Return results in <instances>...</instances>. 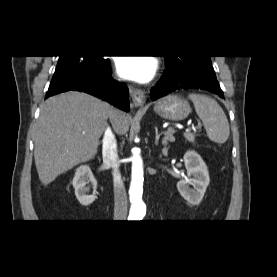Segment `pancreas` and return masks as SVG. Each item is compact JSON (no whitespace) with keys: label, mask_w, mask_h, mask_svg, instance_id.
I'll list each match as a JSON object with an SVG mask.
<instances>
[{"label":"pancreas","mask_w":277,"mask_h":277,"mask_svg":"<svg viewBox=\"0 0 277 277\" xmlns=\"http://www.w3.org/2000/svg\"><path fill=\"white\" fill-rule=\"evenodd\" d=\"M184 137L186 138L187 141L194 143L195 141V134L187 132L184 134Z\"/></svg>","instance_id":"cf45deb5"}]
</instances>
